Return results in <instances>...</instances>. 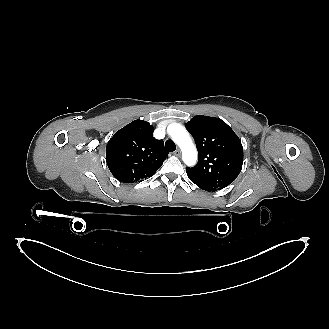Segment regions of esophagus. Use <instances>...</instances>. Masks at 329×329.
I'll list each match as a JSON object with an SVG mask.
<instances>
[{"label": "esophagus", "instance_id": "esophagus-1", "mask_svg": "<svg viewBox=\"0 0 329 329\" xmlns=\"http://www.w3.org/2000/svg\"><path fill=\"white\" fill-rule=\"evenodd\" d=\"M174 155L179 157L181 155V151L179 149L174 151Z\"/></svg>", "mask_w": 329, "mask_h": 329}]
</instances>
